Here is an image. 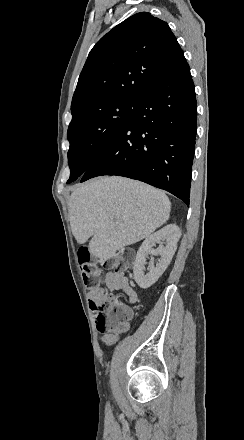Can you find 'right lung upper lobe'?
Listing matches in <instances>:
<instances>
[{"mask_svg":"<svg viewBox=\"0 0 244 440\" xmlns=\"http://www.w3.org/2000/svg\"><path fill=\"white\" fill-rule=\"evenodd\" d=\"M185 61L168 24L148 12L137 13L92 48L71 110L112 97L141 98L160 76Z\"/></svg>","mask_w":244,"mask_h":440,"instance_id":"right-lung-upper-lobe-1","label":"right lung upper lobe"}]
</instances>
